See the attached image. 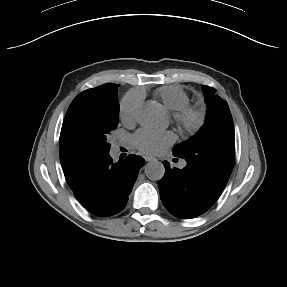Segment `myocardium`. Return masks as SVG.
Instances as JSON below:
<instances>
[{"instance_id": "myocardium-1", "label": "myocardium", "mask_w": 287, "mask_h": 287, "mask_svg": "<svg viewBox=\"0 0 287 287\" xmlns=\"http://www.w3.org/2000/svg\"><path fill=\"white\" fill-rule=\"evenodd\" d=\"M177 121L188 132H195L200 129L204 123V111L200 108L185 104L175 115Z\"/></svg>"}]
</instances>
